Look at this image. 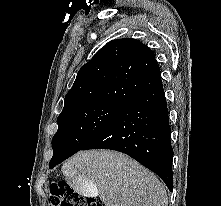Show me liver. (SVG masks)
<instances>
[{
	"mask_svg": "<svg viewBox=\"0 0 221 206\" xmlns=\"http://www.w3.org/2000/svg\"><path fill=\"white\" fill-rule=\"evenodd\" d=\"M62 173L74 184L90 183L105 206L168 205L166 189L157 177L120 152L81 151L63 164Z\"/></svg>",
	"mask_w": 221,
	"mask_h": 206,
	"instance_id": "1",
	"label": "liver"
}]
</instances>
